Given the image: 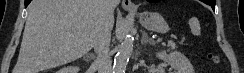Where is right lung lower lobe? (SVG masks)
Segmentation results:
<instances>
[{"label": "right lung lower lobe", "mask_w": 244, "mask_h": 73, "mask_svg": "<svg viewBox=\"0 0 244 73\" xmlns=\"http://www.w3.org/2000/svg\"><path fill=\"white\" fill-rule=\"evenodd\" d=\"M30 2L31 0H25V7H27Z\"/></svg>", "instance_id": "right-lung-lower-lobe-1"}]
</instances>
